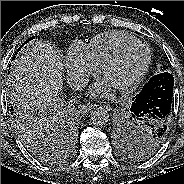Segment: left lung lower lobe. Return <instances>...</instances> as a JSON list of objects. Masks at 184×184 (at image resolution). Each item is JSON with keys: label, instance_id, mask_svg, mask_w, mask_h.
<instances>
[{"label": "left lung lower lobe", "instance_id": "1", "mask_svg": "<svg viewBox=\"0 0 184 184\" xmlns=\"http://www.w3.org/2000/svg\"><path fill=\"white\" fill-rule=\"evenodd\" d=\"M173 86L171 73L162 72L153 76L132 99L128 112L150 127L157 128L159 133L167 132L173 107Z\"/></svg>", "mask_w": 184, "mask_h": 184}]
</instances>
